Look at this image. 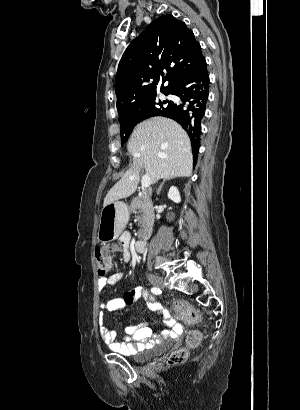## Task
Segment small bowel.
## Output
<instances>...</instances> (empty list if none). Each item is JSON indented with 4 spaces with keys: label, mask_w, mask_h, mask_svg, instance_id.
<instances>
[{
    "label": "small bowel",
    "mask_w": 300,
    "mask_h": 410,
    "mask_svg": "<svg viewBox=\"0 0 300 410\" xmlns=\"http://www.w3.org/2000/svg\"><path fill=\"white\" fill-rule=\"evenodd\" d=\"M120 240L122 244L123 258L124 260H127L129 237L127 235H122ZM122 276V272H115L109 276H102L98 280V286L100 289H103L106 286L115 285L121 280ZM140 298H143L147 302L150 310L164 319V322L169 329L164 331L160 336H156L154 335L152 328L147 324L128 326L124 329L126 340L119 342L117 340L116 332L109 329L105 325L103 313L123 311L126 306L134 303ZM99 309L101 311L98 319L100 337L112 351L118 352L122 355L135 354L151 347L159 339L176 336L179 332V325L174 319L171 318L169 312L154 297L147 294L141 287H136L130 290L124 299L116 298L100 302Z\"/></svg>",
    "instance_id": "1"
}]
</instances>
